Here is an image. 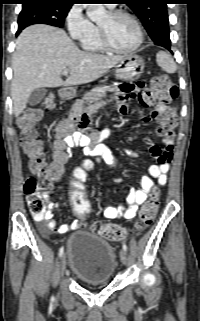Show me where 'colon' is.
Returning <instances> with one entry per match:
<instances>
[{
	"instance_id": "5ec220e1",
	"label": "colon",
	"mask_w": 200,
	"mask_h": 321,
	"mask_svg": "<svg viewBox=\"0 0 200 321\" xmlns=\"http://www.w3.org/2000/svg\"><path fill=\"white\" fill-rule=\"evenodd\" d=\"M142 91V96H132L131 98H137L143 104L166 105L178 96V89L164 75L153 77L147 89ZM42 105L45 110L50 111L55 107V99L52 96H48L43 100ZM120 111L125 112L126 107L121 105ZM40 117V110L31 109L18 121L20 144L30 157L29 167L33 174V177L26 179L24 189L27 195L29 210L35 218L43 217L47 213L46 195L52 189L53 183L62 174L60 158L48 160L44 154L43 145L37 130V122ZM89 120L88 113H76L72 116L71 121L63 123L60 129L67 130L74 123L80 129L85 130ZM176 124L177 119L175 115L172 112L167 113L163 122L164 136L168 138L173 137L172 130ZM168 156H172L170 151ZM83 172V170L82 172H77L75 179L72 180L69 197L71 211L74 216H78L79 222H86L90 211V202L84 187L87 178ZM158 206L159 202L156 196L146 201L139 212L137 223L132 231L139 233L148 227L156 217ZM91 228L94 232L111 241L124 240L131 233L130 230L119 225L105 224L99 221L94 222Z\"/></svg>"
}]
</instances>
